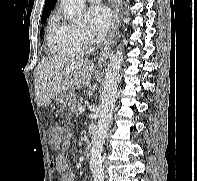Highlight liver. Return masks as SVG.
Here are the masks:
<instances>
[{
  "mask_svg": "<svg viewBox=\"0 0 197 181\" xmlns=\"http://www.w3.org/2000/svg\"><path fill=\"white\" fill-rule=\"evenodd\" d=\"M94 69L92 62L78 56L42 59L34 73L37 104L48 106L61 92L88 86Z\"/></svg>",
  "mask_w": 197,
  "mask_h": 181,
  "instance_id": "1",
  "label": "liver"
}]
</instances>
